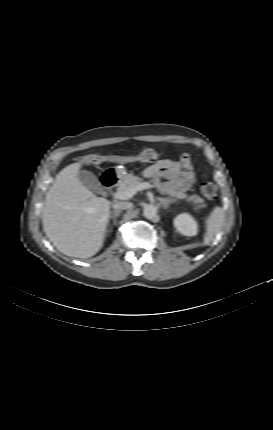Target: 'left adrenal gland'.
I'll return each mask as SVG.
<instances>
[{"instance_id":"a2214340","label":"left adrenal gland","mask_w":273,"mask_h":430,"mask_svg":"<svg viewBox=\"0 0 273 430\" xmlns=\"http://www.w3.org/2000/svg\"><path fill=\"white\" fill-rule=\"evenodd\" d=\"M171 202H172L171 199H162L160 201V205L163 207V209L167 210Z\"/></svg>"}]
</instances>
